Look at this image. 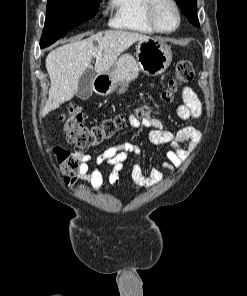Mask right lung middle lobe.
<instances>
[{
  "label": "right lung middle lobe",
  "mask_w": 247,
  "mask_h": 296,
  "mask_svg": "<svg viewBox=\"0 0 247 296\" xmlns=\"http://www.w3.org/2000/svg\"><path fill=\"white\" fill-rule=\"evenodd\" d=\"M100 0H48L40 46L48 47L72 28L93 18Z\"/></svg>",
  "instance_id": "dd1d6c3e"
}]
</instances>
